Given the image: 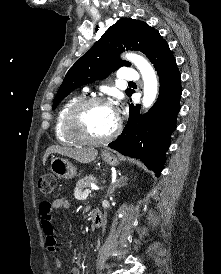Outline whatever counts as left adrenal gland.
Segmentation results:
<instances>
[{
    "instance_id": "left-adrenal-gland-1",
    "label": "left adrenal gland",
    "mask_w": 221,
    "mask_h": 274,
    "mask_svg": "<svg viewBox=\"0 0 221 274\" xmlns=\"http://www.w3.org/2000/svg\"><path fill=\"white\" fill-rule=\"evenodd\" d=\"M128 178L125 176H120L119 179H117L114 184L109 188L108 192H107V196L111 195L116 188H120L124 185H126Z\"/></svg>"
}]
</instances>
